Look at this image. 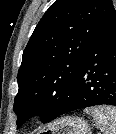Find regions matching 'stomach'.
Segmentation results:
<instances>
[{"instance_id":"stomach-1","label":"stomach","mask_w":116,"mask_h":134,"mask_svg":"<svg viewBox=\"0 0 116 134\" xmlns=\"http://www.w3.org/2000/svg\"><path fill=\"white\" fill-rule=\"evenodd\" d=\"M88 124L78 117H65L47 125L40 134H87Z\"/></svg>"}]
</instances>
